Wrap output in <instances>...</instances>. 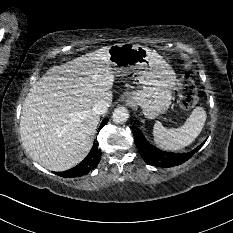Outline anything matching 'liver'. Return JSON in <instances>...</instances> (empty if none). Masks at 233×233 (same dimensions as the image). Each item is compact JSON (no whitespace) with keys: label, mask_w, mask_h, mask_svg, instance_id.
Masks as SVG:
<instances>
[{"label":"liver","mask_w":233,"mask_h":233,"mask_svg":"<svg viewBox=\"0 0 233 233\" xmlns=\"http://www.w3.org/2000/svg\"><path fill=\"white\" fill-rule=\"evenodd\" d=\"M109 46L49 69L30 88L22 106L20 134L26 152L51 171H65L89 153L100 102L112 103L115 72Z\"/></svg>","instance_id":"1"}]
</instances>
